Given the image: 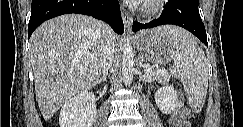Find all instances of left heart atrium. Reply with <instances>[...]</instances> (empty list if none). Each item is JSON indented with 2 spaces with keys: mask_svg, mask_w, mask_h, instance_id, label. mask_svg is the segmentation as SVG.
Masks as SVG:
<instances>
[{
  "mask_svg": "<svg viewBox=\"0 0 243 127\" xmlns=\"http://www.w3.org/2000/svg\"><path fill=\"white\" fill-rule=\"evenodd\" d=\"M132 3H139L142 2V0H131Z\"/></svg>",
  "mask_w": 243,
  "mask_h": 127,
  "instance_id": "1",
  "label": "left heart atrium"
}]
</instances>
